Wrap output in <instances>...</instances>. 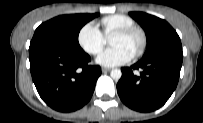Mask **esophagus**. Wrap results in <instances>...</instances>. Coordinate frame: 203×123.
I'll list each match as a JSON object with an SVG mask.
<instances>
[{"label": "esophagus", "instance_id": "34e87169", "mask_svg": "<svg viewBox=\"0 0 203 123\" xmlns=\"http://www.w3.org/2000/svg\"><path fill=\"white\" fill-rule=\"evenodd\" d=\"M110 70H111L110 68H106V67H103V68H102V72H104V73H105V72H109Z\"/></svg>", "mask_w": 203, "mask_h": 123}]
</instances>
